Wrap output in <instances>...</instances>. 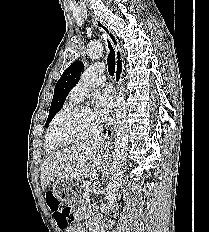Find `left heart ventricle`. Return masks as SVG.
Listing matches in <instances>:
<instances>
[{"label":"left heart ventricle","mask_w":209,"mask_h":232,"mask_svg":"<svg viewBox=\"0 0 209 232\" xmlns=\"http://www.w3.org/2000/svg\"><path fill=\"white\" fill-rule=\"evenodd\" d=\"M99 127L94 112L90 108L84 109L77 117L61 124L57 132L62 135L81 136L94 132Z\"/></svg>","instance_id":"left-heart-ventricle-1"}]
</instances>
